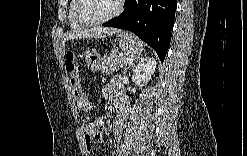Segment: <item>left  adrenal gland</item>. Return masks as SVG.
<instances>
[{
    "label": "left adrenal gland",
    "instance_id": "obj_1",
    "mask_svg": "<svg viewBox=\"0 0 247 156\" xmlns=\"http://www.w3.org/2000/svg\"><path fill=\"white\" fill-rule=\"evenodd\" d=\"M132 65H133V63H131V64H129L127 67H125V69H124V72H123V73H126L127 69H128L129 67H131Z\"/></svg>",
    "mask_w": 247,
    "mask_h": 156
}]
</instances>
